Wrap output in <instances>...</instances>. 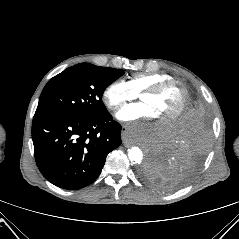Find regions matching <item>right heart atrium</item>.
I'll use <instances>...</instances> for the list:
<instances>
[{
    "label": "right heart atrium",
    "instance_id": "obj_1",
    "mask_svg": "<svg viewBox=\"0 0 239 239\" xmlns=\"http://www.w3.org/2000/svg\"><path fill=\"white\" fill-rule=\"evenodd\" d=\"M137 97L128 84L123 80H115L103 90L102 98L108 109L116 113L126 102Z\"/></svg>",
    "mask_w": 239,
    "mask_h": 239
}]
</instances>
